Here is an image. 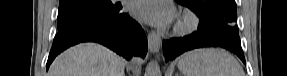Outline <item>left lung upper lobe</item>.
Listing matches in <instances>:
<instances>
[{"mask_svg":"<svg viewBox=\"0 0 287 76\" xmlns=\"http://www.w3.org/2000/svg\"><path fill=\"white\" fill-rule=\"evenodd\" d=\"M176 2L190 8L199 16L201 22L212 29L239 36L235 0H176Z\"/></svg>","mask_w":287,"mask_h":76,"instance_id":"1","label":"left lung upper lobe"}]
</instances>
